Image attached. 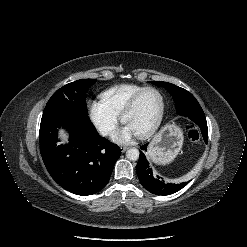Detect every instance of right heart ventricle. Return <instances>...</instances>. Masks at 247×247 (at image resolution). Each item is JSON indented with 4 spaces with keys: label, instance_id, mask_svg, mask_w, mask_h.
<instances>
[{
    "label": "right heart ventricle",
    "instance_id": "right-heart-ventricle-1",
    "mask_svg": "<svg viewBox=\"0 0 247 247\" xmlns=\"http://www.w3.org/2000/svg\"><path fill=\"white\" fill-rule=\"evenodd\" d=\"M143 88L135 84H121L103 91L100 96L109 109L120 115L131 98Z\"/></svg>",
    "mask_w": 247,
    "mask_h": 247
}]
</instances>
